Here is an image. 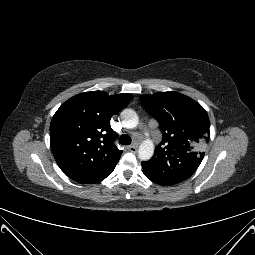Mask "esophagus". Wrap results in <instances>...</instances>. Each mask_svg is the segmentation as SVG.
<instances>
[{
	"label": "esophagus",
	"mask_w": 255,
	"mask_h": 255,
	"mask_svg": "<svg viewBox=\"0 0 255 255\" xmlns=\"http://www.w3.org/2000/svg\"><path fill=\"white\" fill-rule=\"evenodd\" d=\"M137 148H138V146L134 144V145L128 146L127 149H128L130 152L135 153V152L137 151Z\"/></svg>",
	"instance_id": "34e87169"
}]
</instances>
